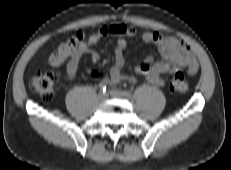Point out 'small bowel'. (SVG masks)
Returning <instances> with one entry per match:
<instances>
[{
    "instance_id": "1",
    "label": "small bowel",
    "mask_w": 231,
    "mask_h": 170,
    "mask_svg": "<svg viewBox=\"0 0 231 170\" xmlns=\"http://www.w3.org/2000/svg\"><path fill=\"white\" fill-rule=\"evenodd\" d=\"M136 29L126 24H113L103 26L92 33L86 40H81L77 49L69 57L66 65V78H73L78 70L80 60L83 56L89 55L93 62L100 59L98 51L94 48L101 39L108 35L116 36V47L114 52V64L105 74H100L101 82L105 84H116L121 80H127L134 84L136 78L132 74H124L125 66L124 52L128 46V39L136 36ZM145 43H153L158 46L161 61H155L147 57L145 61L137 65L134 70L137 74L147 79L150 83L165 86L163 74L175 73L186 69L188 74L194 75L198 71V63L192 50L181 40L161 33L159 31H145L141 36Z\"/></svg>"
}]
</instances>
